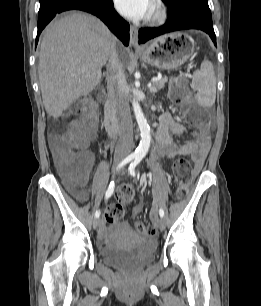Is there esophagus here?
Returning a JSON list of instances; mask_svg holds the SVG:
<instances>
[{
	"instance_id": "obj_1",
	"label": "esophagus",
	"mask_w": 261,
	"mask_h": 306,
	"mask_svg": "<svg viewBox=\"0 0 261 306\" xmlns=\"http://www.w3.org/2000/svg\"><path fill=\"white\" fill-rule=\"evenodd\" d=\"M130 47L133 49H138L137 28L133 25H130Z\"/></svg>"
}]
</instances>
